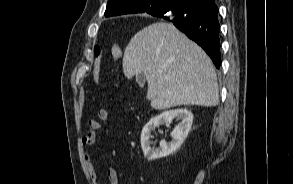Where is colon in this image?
<instances>
[{
    "mask_svg": "<svg viewBox=\"0 0 293 184\" xmlns=\"http://www.w3.org/2000/svg\"><path fill=\"white\" fill-rule=\"evenodd\" d=\"M94 53V63H93V71H92V80L95 85H98L101 74V65H102V49L99 45H95L93 49ZM111 54L112 56L119 60L122 57V49L116 44L111 46Z\"/></svg>",
    "mask_w": 293,
    "mask_h": 184,
    "instance_id": "1",
    "label": "colon"
}]
</instances>
